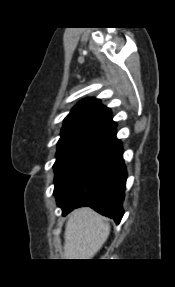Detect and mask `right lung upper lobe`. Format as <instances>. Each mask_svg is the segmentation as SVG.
<instances>
[{"label": "right lung upper lobe", "mask_w": 175, "mask_h": 287, "mask_svg": "<svg viewBox=\"0 0 175 287\" xmlns=\"http://www.w3.org/2000/svg\"><path fill=\"white\" fill-rule=\"evenodd\" d=\"M85 126L116 127L111 110L103 106L98 99L87 98L73 107L64 119L63 130Z\"/></svg>", "instance_id": "cb5924a9"}]
</instances>
